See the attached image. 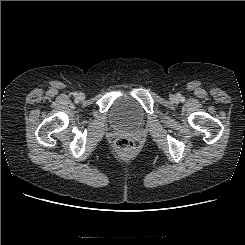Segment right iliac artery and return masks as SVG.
Returning <instances> with one entry per match:
<instances>
[{"instance_id": "right-iliac-artery-1", "label": "right iliac artery", "mask_w": 245, "mask_h": 245, "mask_svg": "<svg viewBox=\"0 0 245 245\" xmlns=\"http://www.w3.org/2000/svg\"><path fill=\"white\" fill-rule=\"evenodd\" d=\"M73 95H77V93L75 92V93H73Z\"/></svg>"}]
</instances>
